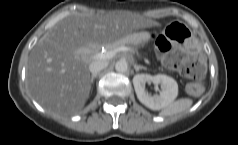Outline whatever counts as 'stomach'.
Returning <instances> with one entry per match:
<instances>
[{
    "label": "stomach",
    "instance_id": "0dacf381",
    "mask_svg": "<svg viewBox=\"0 0 238 145\" xmlns=\"http://www.w3.org/2000/svg\"><path fill=\"white\" fill-rule=\"evenodd\" d=\"M166 36L176 45L186 46L191 53L199 52L201 44L191 30L181 21H170L165 28Z\"/></svg>",
    "mask_w": 238,
    "mask_h": 145
}]
</instances>
